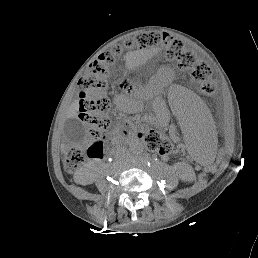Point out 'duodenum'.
I'll list each match as a JSON object with an SVG mask.
<instances>
[{
  "instance_id": "1",
  "label": "duodenum",
  "mask_w": 258,
  "mask_h": 258,
  "mask_svg": "<svg viewBox=\"0 0 258 258\" xmlns=\"http://www.w3.org/2000/svg\"><path fill=\"white\" fill-rule=\"evenodd\" d=\"M104 154V153H103ZM88 155L90 158L92 159H97L98 157H101L102 155H98V150L95 148V147H91L89 150H88Z\"/></svg>"
}]
</instances>
